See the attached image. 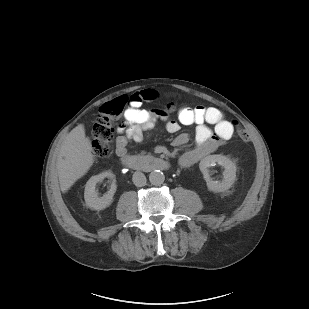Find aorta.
I'll list each match as a JSON object with an SVG mask.
<instances>
[{
    "mask_svg": "<svg viewBox=\"0 0 309 309\" xmlns=\"http://www.w3.org/2000/svg\"><path fill=\"white\" fill-rule=\"evenodd\" d=\"M165 176L160 170H154L149 175V181L152 185L159 186L163 184Z\"/></svg>",
    "mask_w": 309,
    "mask_h": 309,
    "instance_id": "762f6f07",
    "label": "aorta"
}]
</instances>
